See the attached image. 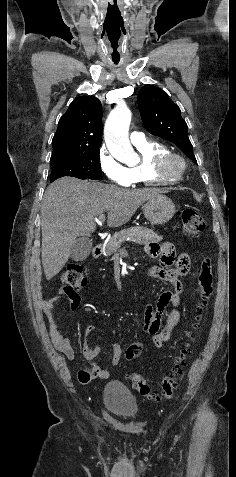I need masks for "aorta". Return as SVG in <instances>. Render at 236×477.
<instances>
[{"mask_svg":"<svg viewBox=\"0 0 236 477\" xmlns=\"http://www.w3.org/2000/svg\"><path fill=\"white\" fill-rule=\"evenodd\" d=\"M131 111L125 105H118L109 115L104 127L105 142L111 153L122 161L135 157L129 141Z\"/></svg>","mask_w":236,"mask_h":477,"instance_id":"aorta-1","label":"aorta"}]
</instances>
